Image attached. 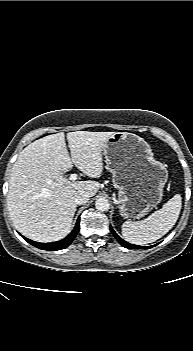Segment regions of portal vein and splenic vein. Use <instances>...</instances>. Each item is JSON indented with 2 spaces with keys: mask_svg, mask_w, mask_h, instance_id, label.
Returning a JSON list of instances; mask_svg holds the SVG:
<instances>
[{
  "mask_svg": "<svg viewBox=\"0 0 193 351\" xmlns=\"http://www.w3.org/2000/svg\"><path fill=\"white\" fill-rule=\"evenodd\" d=\"M69 179H70L71 181H75V180L77 179V174H71L70 177H69Z\"/></svg>",
  "mask_w": 193,
  "mask_h": 351,
  "instance_id": "portal-vein-and-splenic-vein-1",
  "label": "portal vein and splenic vein"
}]
</instances>
